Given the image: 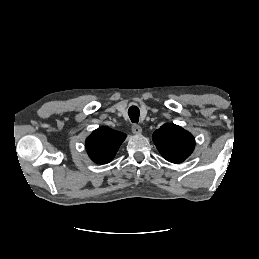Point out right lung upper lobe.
<instances>
[{
  "label": "right lung upper lobe",
  "instance_id": "cb5924a9",
  "mask_svg": "<svg viewBox=\"0 0 259 259\" xmlns=\"http://www.w3.org/2000/svg\"><path fill=\"white\" fill-rule=\"evenodd\" d=\"M126 135L108 127H100L86 139V150L93 162L109 163L115 156Z\"/></svg>",
  "mask_w": 259,
  "mask_h": 259
}]
</instances>
